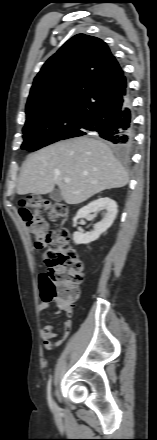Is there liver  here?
I'll return each instance as SVG.
<instances>
[{
  "instance_id": "liver-1",
  "label": "liver",
  "mask_w": 157,
  "mask_h": 440,
  "mask_svg": "<svg viewBox=\"0 0 157 440\" xmlns=\"http://www.w3.org/2000/svg\"><path fill=\"white\" fill-rule=\"evenodd\" d=\"M128 181L127 171L110 148L85 136L59 141L30 154L22 165L17 193L42 195L57 185L67 204H79Z\"/></svg>"
}]
</instances>
